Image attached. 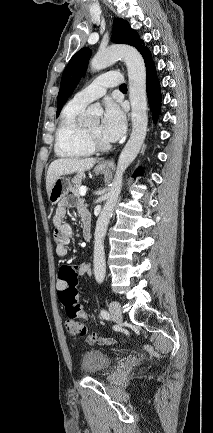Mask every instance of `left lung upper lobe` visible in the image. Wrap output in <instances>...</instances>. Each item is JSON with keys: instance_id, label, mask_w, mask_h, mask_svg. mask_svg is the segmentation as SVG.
I'll use <instances>...</instances> for the list:
<instances>
[{"instance_id": "left-lung-upper-lobe-1", "label": "left lung upper lobe", "mask_w": 213, "mask_h": 433, "mask_svg": "<svg viewBox=\"0 0 213 433\" xmlns=\"http://www.w3.org/2000/svg\"><path fill=\"white\" fill-rule=\"evenodd\" d=\"M112 41L114 43L132 45L138 49L142 56L148 51V48L144 47V42L140 40L137 32L123 19L116 18L114 20ZM90 57L91 50L87 47L82 48L70 59L66 66L62 75L60 90L57 97V117L59 116L65 101L74 91L82 74L86 71Z\"/></svg>"}]
</instances>
